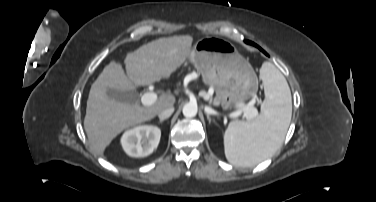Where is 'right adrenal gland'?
Here are the masks:
<instances>
[{
    "mask_svg": "<svg viewBox=\"0 0 376 202\" xmlns=\"http://www.w3.org/2000/svg\"><path fill=\"white\" fill-rule=\"evenodd\" d=\"M164 120H159V123H163Z\"/></svg>",
    "mask_w": 376,
    "mask_h": 202,
    "instance_id": "right-adrenal-gland-1",
    "label": "right adrenal gland"
}]
</instances>
